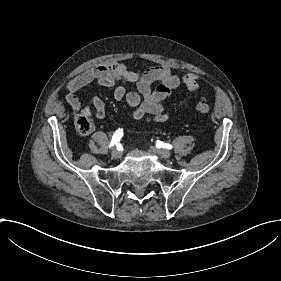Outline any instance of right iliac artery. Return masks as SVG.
Listing matches in <instances>:
<instances>
[{"label":"right iliac artery","instance_id":"right-iliac-artery-1","mask_svg":"<svg viewBox=\"0 0 281 281\" xmlns=\"http://www.w3.org/2000/svg\"><path fill=\"white\" fill-rule=\"evenodd\" d=\"M122 136H123V129L119 128L118 130H116V132L112 136V140H111L109 147L117 145L118 142L120 141V139L122 138Z\"/></svg>","mask_w":281,"mask_h":281}]
</instances>
